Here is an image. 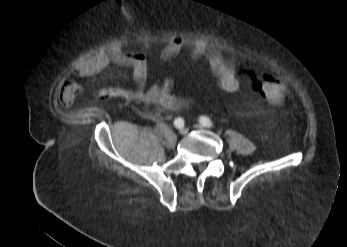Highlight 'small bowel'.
<instances>
[{
  "label": "small bowel",
  "mask_w": 347,
  "mask_h": 247,
  "mask_svg": "<svg viewBox=\"0 0 347 247\" xmlns=\"http://www.w3.org/2000/svg\"><path fill=\"white\" fill-rule=\"evenodd\" d=\"M186 47L187 44L182 38H172L162 48L161 57L163 60H168L182 52ZM190 56L193 60L206 58L217 85L227 93L238 92L244 83L251 85V80L248 77L240 76L236 65L232 61L226 60L215 47L193 44L190 48ZM112 63L129 67L136 87L135 89H125L110 86L106 88L107 92L127 101H138L145 105L154 106V111L144 114L151 121H161L165 110L180 111L193 103L190 98H182L173 94L174 80L171 78H166L146 88L148 67L143 51L125 52L121 47L99 50L79 60L74 66V72L78 77H89L104 70ZM254 88L256 89V85ZM79 90L76 84H65L58 95L59 105L63 108L71 107Z\"/></svg>",
  "instance_id": "1"
}]
</instances>
